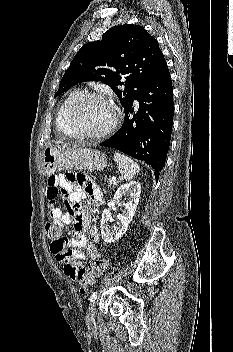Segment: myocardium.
Here are the masks:
<instances>
[{"label": "myocardium", "instance_id": "1", "mask_svg": "<svg viewBox=\"0 0 233 352\" xmlns=\"http://www.w3.org/2000/svg\"><path fill=\"white\" fill-rule=\"evenodd\" d=\"M87 99H100L110 105L113 111V118L110 124L103 130L96 133L80 132L74 124V115L78 106ZM120 119V111L117 105L106 95L99 92H84L80 93L71 103L67 113V125L73 137L79 139H101L112 133L117 127Z\"/></svg>", "mask_w": 233, "mask_h": 352}]
</instances>
